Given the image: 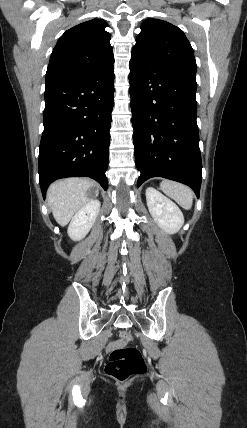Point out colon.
<instances>
[{
  "instance_id": "1",
  "label": "colon",
  "mask_w": 247,
  "mask_h": 428,
  "mask_svg": "<svg viewBox=\"0 0 247 428\" xmlns=\"http://www.w3.org/2000/svg\"><path fill=\"white\" fill-rule=\"evenodd\" d=\"M130 340L131 335L124 332L120 339L110 346L111 352L105 370L110 377L118 381L142 374L146 369L140 351L128 345Z\"/></svg>"
}]
</instances>
